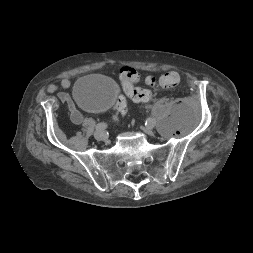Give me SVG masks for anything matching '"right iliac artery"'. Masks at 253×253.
I'll return each mask as SVG.
<instances>
[{"instance_id": "obj_1", "label": "right iliac artery", "mask_w": 253, "mask_h": 253, "mask_svg": "<svg viewBox=\"0 0 253 253\" xmlns=\"http://www.w3.org/2000/svg\"><path fill=\"white\" fill-rule=\"evenodd\" d=\"M106 127H107V124L104 123V122H101V123H98V124L96 125V130L102 131V130H104Z\"/></svg>"}]
</instances>
